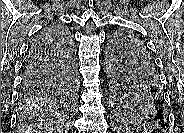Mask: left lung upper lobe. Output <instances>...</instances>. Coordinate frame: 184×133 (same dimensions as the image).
<instances>
[{
  "label": "left lung upper lobe",
  "instance_id": "left-lung-upper-lobe-1",
  "mask_svg": "<svg viewBox=\"0 0 184 133\" xmlns=\"http://www.w3.org/2000/svg\"><path fill=\"white\" fill-rule=\"evenodd\" d=\"M107 64L112 102L120 115L138 125L156 124L159 113L168 116L165 101L155 106L151 85L156 86L158 72L139 38L125 31L113 35Z\"/></svg>",
  "mask_w": 184,
  "mask_h": 133
}]
</instances>
